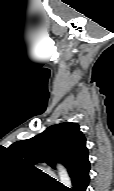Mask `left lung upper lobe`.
Returning <instances> with one entry per match:
<instances>
[{
  "label": "left lung upper lobe",
  "mask_w": 114,
  "mask_h": 191,
  "mask_svg": "<svg viewBox=\"0 0 114 191\" xmlns=\"http://www.w3.org/2000/svg\"><path fill=\"white\" fill-rule=\"evenodd\" d=\"M86 138L77 123L65 122L52 125L43 133L27 140H21L8 147L9 152L20 162L33 164L46 162L54 167L63 163L70 177L88 160Z\"/></svg>",
  "instance_id": "5c2ea615"
}]
</instances>
